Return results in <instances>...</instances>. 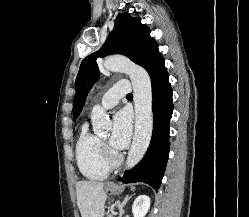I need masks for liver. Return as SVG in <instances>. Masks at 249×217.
I'll list each match as a JSON object with an SVG mask.
<instances>
[{"mask_svg": "<svg viewBox=\"0 0 249 217\" xmlns=\"http://www.w3.org/2000/svg\"><path fill=\"white\" fill-rule=\"evenodd\" d=\"M77 205L82 217H103L106 193L104 183L79 181L76 184Z\"/></svg>", "mask_w": 249, "mask_h": 217, "instance_id": "1", "label": "liver"}]
</instances>
